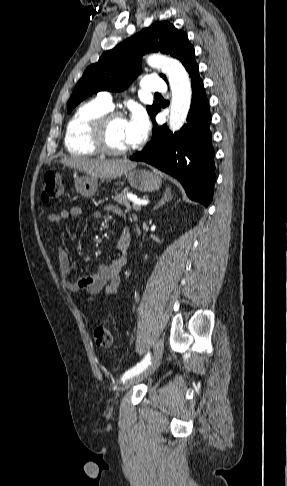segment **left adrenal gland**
Wrapping results in <instances>:
<instances>
[{"label":"left adrenal gland","instance_id":"left-adrenal-gland-1","mask_svg":"<svg viewBox=\"0 0 287 486\" xmlns=\"http://www.w3.org/2000/svg\"><path fill=\"white\" fill-rule=\"evenodd\" d=\"M172 199L171 196V189L167 188L166 191L164 192V195L162 199L154 206L153 210H157L159 207L164 205L166 202L170 201Z\"/></svg>","mask_w":287,"mask_h":486}]
</instances>
